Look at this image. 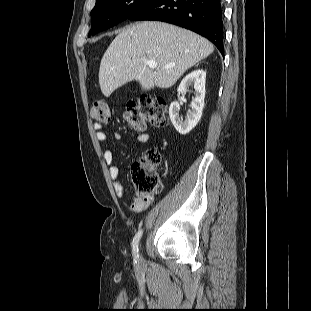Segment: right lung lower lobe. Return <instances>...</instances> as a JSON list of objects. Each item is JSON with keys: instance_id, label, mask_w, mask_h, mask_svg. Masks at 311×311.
Returning <instances> with one entry per match:
<instances>
[{"instance_id": "98d812e1", "label": "right lung lower lobe", "mask_w": 311, "mask_h": 311, "mask_svg": "<svg viewBox=\"0 0 311 311\" xmlns=\"http://www.w3.org/2000/svg\"><path fill=\"white\" fill-rule=\"evenodd\" d=\"M128 19L157 20L184 27L209 39L224 55L221 0H155Z\"/></svg>"}]
</instances>
